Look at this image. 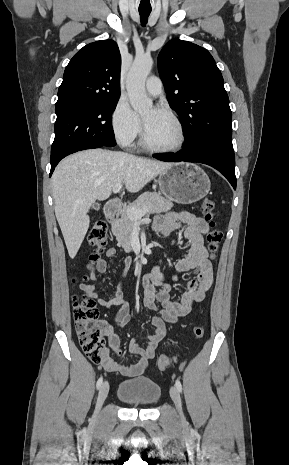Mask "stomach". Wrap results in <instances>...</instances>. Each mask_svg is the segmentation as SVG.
I'll list each match as a JSON object with an SVG mask.
<instances>
[{
  "label": "stomach",
  "instance_id": "0dacf381",
  "mask_svg": "<svg viewBox=\"0 0 289 465\" xmlns=\"http://www.w3.org/2000/svg\"><path fill=\"white\" fill-rule=\"evenodd\" d=\"M158 183L164 196L181 204L201 200L211 186L208 175L192 163H174L159 175Z\"/></svg>",
  "mask_w": 289,
  "mask_h": 465
}]
</instances>
